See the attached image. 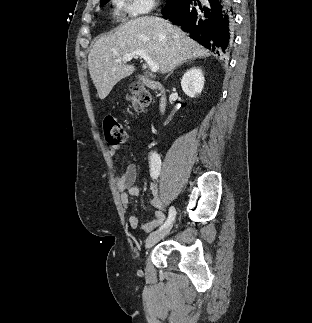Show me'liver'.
<instances>
[{
  "mask_svg": "<svg viewBox=\"0 0 312 323\" xmlns=\"http://www.w3.org/2000/svg\"><path fill=\"white\" fill-rule=\"evenodd\" d=\"M135 50L147 52L162 74L172 72L187 60L210 56L209 50L188 38L181 28L172 26L168 20L156 16L128 20L110 36L96 40L89 52V74L100 100L110 94L117 82L135 72V66L115 62Z\"/></svg>",
  "mask_w": 312,
  "mask_h": 323,
  "instance_id": "obj_1",
  "label": "liver"
}]
</instances>
